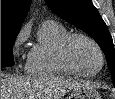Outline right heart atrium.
<instances>
[{
    "label": "right heart atrium",
    "mask_w": 115,
    "mask_h": 99,
    "mask_svg": "<svg viewBox=\"0 0 115 99\" xmlns=\"http://www.w3.org/2000/svg\"><path fill=\"white\" fill-rule=\"evenodd\" d=\"M28 33H29L28 28L24 27L20 30V32L16 36L12 45V53L14 56H18L21 46L27 40Z\"/></svg>",
    "instance_id": "obj_1"
}]
</instances>
